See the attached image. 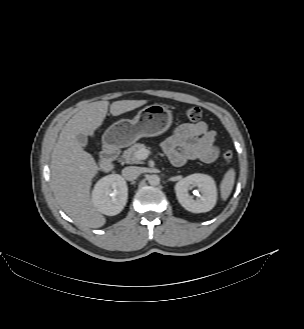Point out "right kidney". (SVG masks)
<instances>
[{"label":"right kidney","instance_id":"ca27d5eb","mask_svg":"<svg viewBox=\"0 0 304 329\" xmlns=\"http://www.w3.org/2000/svg\"><path fill=\"white\" fill-rule=\"evenodd\" d=\"M128 187L118 174L107 175L95 184L92 202L96 209L109 216L119 214L127 203Z\"/></svg>","mask_w":304,"mask_h":329}]
</instances>
